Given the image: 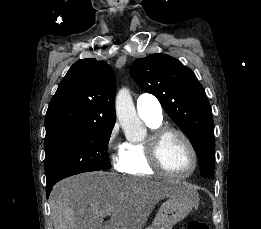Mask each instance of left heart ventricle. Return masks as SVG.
<instances>
[{"label": "left heart ventricle", "mask_w": 261, "mask_h": 229, "mask_svg": "<svg viewBox=\"0 0 261 229\" xmlns=\"http://www.w3.org/2000/svg\"><path fill=\"white\" fill-rule=\"evenodd\" d=\"M162 159L168 169L186 173L192 166V156L185 142L177 135L166 138L162 147Z\"/></svg>", "instance_id": "b2bd125f"}]
</instances>
